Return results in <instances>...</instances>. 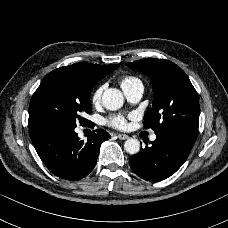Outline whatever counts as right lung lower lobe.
Here are the masks:
<instances>
[{
  "label": "right lung lower lobe",
  "mask_w": 228,
  "mask_h": 228,
  "mask_svg": "<svg viewBox=\"0 0 228 228\" xmlns=\"http://www.w3.org/2000/svg\"><path fill=\"white\" fill-rule=\"evenodd\" d=\"M75 127L64 123H47L29 129L33 145L46 167L66 180H79L95 167L100 145L111 136L97 129L86 142L80 140Z\"/></svg>",
  "instance_id": "98d812e1"
}]
</instances>
